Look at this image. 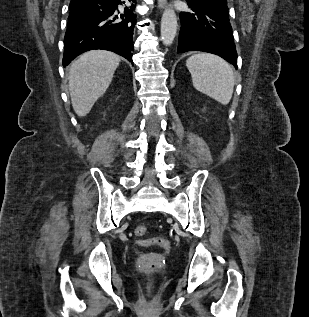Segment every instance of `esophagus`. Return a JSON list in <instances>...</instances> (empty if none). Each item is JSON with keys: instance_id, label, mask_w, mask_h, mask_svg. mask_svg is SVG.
<instances>
[{"instance_id": "1", "label": "esophagus", "mask_w": 309, "mask_h": 317, "mask_svg": "<svg viewBox=\"0 0 309 317\" xmlns=\"http://www.w3.org/2000/svg\"><path fill=\"white\" fill-rule=\"evenodd\" d=\"M166 4V0H158V8L163 9Z\"/></svg>"}]
</instances>
